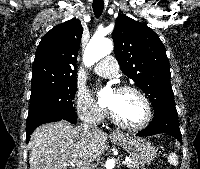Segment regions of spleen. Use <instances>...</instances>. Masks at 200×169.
Here are the masks:
<instances>
[{
  "instance_id": "3e777b00",
  "label": "spleen",
  "mask_w": 200,
  "mask_h": 169,
  "mask_svg": "<svg viewBox=\"0 0 200 169\" xmlns=\"http://www.w3.org/2000/svg\"><path fill=\"white\" fill-rule=\"evenodd\" d=\"M168 162L173 165V166H177L178 165V157L175 153H171L168 156Z\"/></svg>"
}]
</instances>
